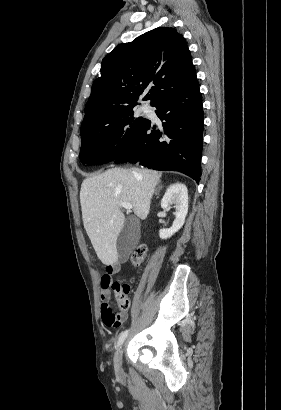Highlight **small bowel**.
<instances>
[{"label": "small bowel", "instance_id": "c3829d8e", "mask_svg": "<svg viewBox=\"0 0 281 410\" xmlns=\"http://www.w3.org/2000/svg\"><path fill=\"white\" fill-rule=\"evenodd\" d=\"M119 270H120L119 264L108 265L106 266L105 272L100 278L102 318L107 308H109L110 287L113 284L112 275L117 273ZM124 319H125V316L121 315V323H123Z\"/></svg>", "mask_w": 281, "mask_h": 410}]
</instances>
